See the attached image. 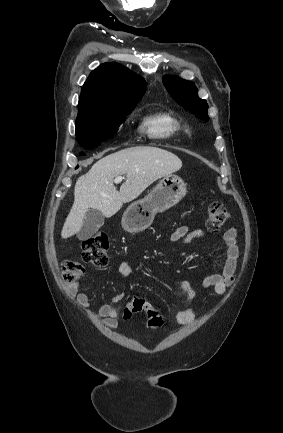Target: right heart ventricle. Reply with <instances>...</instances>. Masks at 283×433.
<instances>
[{"instance_id":"right-heart-ventricle-1","label":"right heart ventricle","mask_w":283,"mask_h":433,"mask_svg":"<svg viewBox=\"0 0 283 433\" xmlns=\"http://www.w3.org/2000/svg\"><path fill=\"white\" fill-rule=\"evenodd\" d=\"M138 130L150 138L167 139L179 134L180 123L169 113L157 112L141 117Z\"/></svg>"}]
</instances>
